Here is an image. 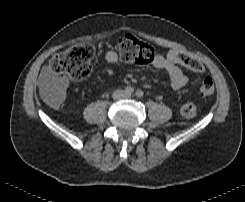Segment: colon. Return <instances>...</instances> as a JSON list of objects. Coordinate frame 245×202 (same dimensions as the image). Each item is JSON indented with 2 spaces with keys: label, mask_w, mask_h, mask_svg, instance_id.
<instances>
[{
  "label": "colon",
  "mask_w": 245,
  "mask_h": 202,
  "mask_svg": "<svg viewBox=\"0 0 245 202\" xmlns=\"http://www.w3.org/2000/svg\"><path fill=\"white\" fill-rule=\"evenodd\" d=\"M95 47L91 43H79L69 46L65 50L55 54L51 61V71L57 75H63L73 81H81L88 77L92 71V60ZM119 55L123 61L133 65L149 63L157 57L156 49L135 36L128 35L119 41ZM177 63L189 70L200 73L203 71L201 61L191 54L179 51L176 55ZM214 83L210 77L203 79L200 86V94L209 97L214 94ZM46 101L52 106H59L65 101V92L60 87H52L44 91ZM184 118L190 119L196 115V107L193 103H186L181 108Z\"/></svg>",
  "instance_id": "obj_1"
}]
</instances>
